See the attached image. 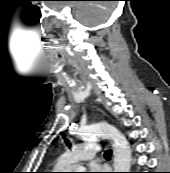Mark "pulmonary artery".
Masks as SVG:
<instances>
[{"instance_id":"obj_1","label":"pulmonary artery","mask_w":170,"mask_h":173,"mask_svg":"<svg viewBox=\"0 0 170 173\" xmlns=\"http://www.w3.org/2000/svg\"><path fill=\"white\" fill-rule=\"evenodd\" d=\"M99 150V146L94 142H83L75 145L72 149L63 154L61 158L65 161L66 165H70L93 159Z\"/></svg>"}]
</instances>
